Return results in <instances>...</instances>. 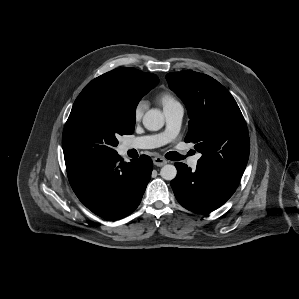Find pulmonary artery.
Wrapping results in <instances>:
<instances>
[{
  "mask_svg": "<svg viewBox=\"0 0 299 299\" xmlns=\"http://www.w3.org/2000/svg\"><path fill=\"white\" fill-rule=\"evenodd\" d=\"M164 114L166 118V129L164 132L129 140L124 143V149H152L172 141L180 130L184 109L181 104H177L165 109ZM199 157V155L191 157L188 160L189 166L195 168Z\"/></svg>",
  "mask_w": 299,
  "mask_h": 299,
  "instance_id": "e3ab8cb5",
  "label": "pulmonary artery"
}]
</instances>
